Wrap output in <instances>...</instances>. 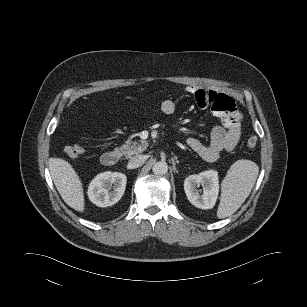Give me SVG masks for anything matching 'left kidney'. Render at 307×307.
Listing matches in <instances>:
<instances>
[{
    "label": "left kidney",
    "instance_id": "obj_1",
    "mask_svg": "<svg viewBox=\"0 0 307 307\" xmlns=\"http://www.w3.org/2000/svg\"><path fill=\"white\" fill-rule=\"evenodd\" d=\"M203 186V194L197 187ZM184 190L188 200L200 209H212L219 193L218 172L207 170L199 174L190 175L184 181Z\"/></svg>",
    "mask_w": 307,
    "mask_h": 307
}]
</instances>
